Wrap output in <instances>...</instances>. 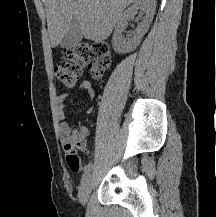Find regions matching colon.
Returning <instances> with one entry per match:
<instances>
[{
    "label": "colon",
    "mask_w": 216,
    "mask_h": 217,
    "mask_svg": "<svg viewBox=\"0 0 216 217\" xmlns=\"http://www.w3.org/2000/svg\"><path fill=\"white\" fill-rule=\"evenodd\" d=\"M62 56L54 66V74L67 88L76 84L83 68H88L94 78H101L111 63L110 47L103 42L79 43L64 50ZM84 148L85 141L80 138L69 141L65 148L67 164L74 172L80 170L78 152Z\"/></svg>",
    "instance_id": "obj_1"
}]
</instances>
